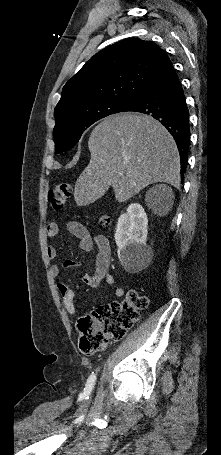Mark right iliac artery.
Masks as SVG:
<instances>
[{"instance_id": "82829eb1", "label": "right iliac artery", "mask_w": 221, "mask_h": 455, "mask_svg": "<svg viewBox=\"0 0 221 455\" xmlns=\"http://www.w3.org/2000/svg\"><path fill=\"white\" fill-rule=\"evenodd\" d=\"M95 381H96V374L93 373L89 376V378L87 380L86 386L84 388V393L89 394L92 391Z\"/></svg>"}]
</instances>
